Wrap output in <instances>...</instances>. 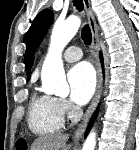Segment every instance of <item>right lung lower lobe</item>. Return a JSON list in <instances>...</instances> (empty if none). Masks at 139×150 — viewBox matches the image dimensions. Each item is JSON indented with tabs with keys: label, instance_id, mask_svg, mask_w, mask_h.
<instances>
[{
	"label": "right lung lower lobe",
	"instance_id": "98d812e1",
	"mask_svg": "<svg viewBox=\"0 0 139 150\" xmlns=\"http://www.w3.org/2000/svg\"><path fill=\"white\" fill-rule=\"evenodd\" d=\"M100 58H101L102 66H103V58H102V55H101V54H100ZM95 118H96V113L94 114L93 118L91 119V121H90V123H89L87 133H88V131L90 130V128H91V126H92V124H93ZM87 133H86V135H87Z\"/></svg>",
	"mask_w": 139,
	"mask_h": 150
}]
</instances>
